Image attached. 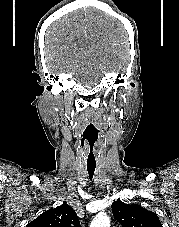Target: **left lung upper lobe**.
<instances>
[{"label":"left lung upper lobe","instance_id":"left-lung-upper-lobe-1","mask_svg":"<svg viewBox=\"0 0 179 227\" xmlns=\"http://www.w3.org/2000/svg\"><path fill=\"white\" fill-rule=\"evenodd\" d=\"M112 210L122 227H162L157 214L140 205L117 200L112 203Z\"/></svg>","mask_w":179,"mask_h":227}]
</instances>
